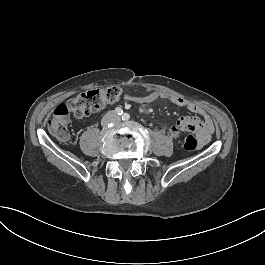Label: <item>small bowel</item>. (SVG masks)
<instances>
[{
    "label": "small bowel",
    "mask_w": 265,
    "mask_h": 265,
    "mask_svg": "<svg viewBox=\"0 0 265 265\" xmlns=\"http://www.w3.org/2000/svg\"><path fill=\"white\" fill-rule=\"evenodd\" d=\"M122 97L127 101L138 104H148L157 100H165L175 106L190 111L193 114L192 116L180 117L173 125L170 126L168 131L169 136L172 139H177L181 132L192 131L198 135L201 144L209 142L214 126L210 116L200 105L183 97L171 95L164 91H149L140 96L123 93Z\"/></svg>",
    "instance_id": "1"
}]
</instances>
